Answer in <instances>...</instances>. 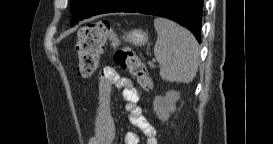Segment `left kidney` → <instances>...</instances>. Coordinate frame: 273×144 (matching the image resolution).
I'll list each match as a JSON object with an SVG mask.
<instances>
[{
	"instance_id": "obj_1",
	"label": "left kidney",
	"mask_w": 273,
	"mask_h": 144,
	"mask_svg": "<svg viewBox=\"0 0 273 144\" xmlns=\"http://www.w3.org/2000/svg\"><path fill=\"white\" fill-rule=\"evenodd\" d=\"M180 98V93L174 90L168 91L164 97L156 96L153 101V109L161 121H167L170 113L176 109V102Z\"/></svg>"
}]
</instances>
